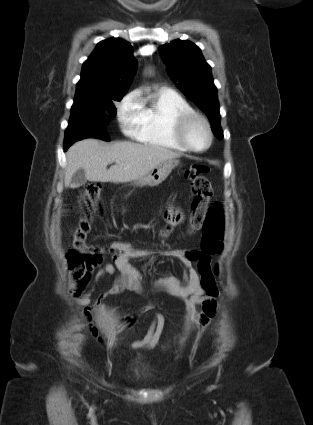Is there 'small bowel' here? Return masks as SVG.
Listing matches in <instances>:
<instances>
[{"label": "small bowel", "mask_w": 313, "mask_h": 425, "mask_svg": "<svg viewBox=\"0 0 313 425\" xmlns=\"http://www.w3.org/2000/svg\"><path fill=\"white\" fill-rule=\"evenodd\" d=\"M165 219L167 227L160 231V236L166 237L171 228L178 223L182 222L183 214L173 208H169L166 212ZM110 249L117 252L113 256L110 263L105 264L100 268L92 277L93 283H97L102 277L115 275L116 278L113 285L106 291L101 292L96 299H91L93 288L89 290L79 291L76 296V302L83 307L82 314L87 323L90 333L105 346L109 347L110 344L99 336L97 327L93 323V311L100 305L107 297L116 296L124 291H131L137 294H144L143 276L141 272L133 265L132 259L143 258L149 255L148 251L136 250L132 248L128 242H113ZM186 249H174L168 252V255L177 258L183 265L182 280L176 276L170 275L156 280L153 286V291H165L166 293L180 299L187 310L188 321L197 322L199 332L203 330L212 320L216 310V299L208 298L204 295L201 286L200 274L193 263L186 257ZM103 261L100 255L97 257L93 267L98 266ZM91 275L88 273L84 280L87 283ZM196 305L202 306L200 314L196 313ZM154 308L152 303H149L139 309L135 316H130L121 319L119 328L130 326L140 316ZM165 325V318L163 314L156 313L148 328L146 334L138 340L130 343L132 349L149 348L152 349L157 346L162 331Z\"/></svg>", "instance_id": "c3829d8e"}]
</instances>
